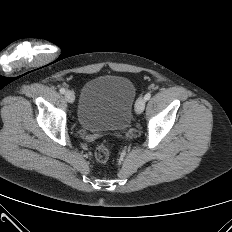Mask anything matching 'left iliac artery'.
<instances>
[{
    "label": "left iliac artery",
    "mask_w": 232,
    "mask_h": 232,
    "mask_svg": "<svg viewBox=\"0 0 232 232\" xmlns=\"http://www.w3.org/2000/svg\"><path fill=\"white\" fill-rule=\"evenodd\" d=\"M145 100H149L151 98V94L150 93H147L145 96H144Z\"/></svg>",
    "instance_id": "44dca946"
}]
</instances>
